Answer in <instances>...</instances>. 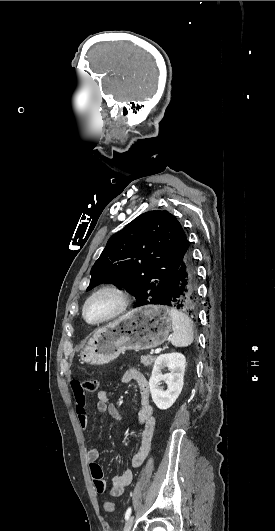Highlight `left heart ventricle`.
<instances>
[{
  "label": "left heart ventricle",
  "instance_id": "obj_1",
  "mask_svg": "<svg viewBox=\"0 0 275 531\" xmlns=\"http://www.w3.org/2000/svg\"><path fill=\"white\" fill-rule=\"evenodd\" d=\"M116 306L112 296L104 295L91 301L86 307V316L91 320L100 319L109 314Z\"/></svg>",
  "mask_w": 275,
  "mask_h": 531
}]
</instances>
